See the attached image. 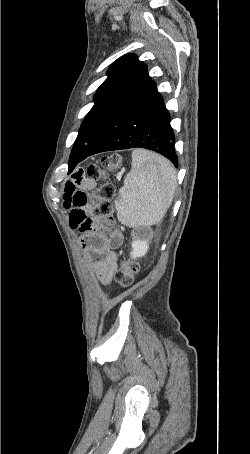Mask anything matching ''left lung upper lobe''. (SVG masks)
Listing matches in <instances>:
<instances>
[{
	"instance_id": "5c2ea615",
	"label": "left lung upper lobe",
	"mask_w": 250,
	"mask_h": 454,
	"mask_svg": "<svg viewBox=\"0 0 250 454\" xmlns=\"http://www.w3.org/2000/svg\"><path fill=\"white\" fill-rule=\"evenodd\" d=\"M94 96V106L82 122L71 156H80L100 126L137 92L151 82L147 66L134 54L117 59Z\"/></svg>"
}]
</instances>
